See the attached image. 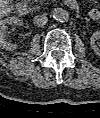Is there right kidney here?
I'll return each mask as SVG.
<instances>
[{"mask_svg":"<svg viewBox=\"0 0 100 118\" xmlns=\"http://www.w3.org/2000/svg\"><path fill=\"white\" fill-rule=\"evenodd\" d=\"M22 20L17 17H8L0 21V47L1 49L13 51L17 49L16 43L7 42L9 36L8 27L9 25H22Z\"/></svg>","mask_w":100,"mask_h":118,"instance_id":"right-kidney-1","label":"right kidney"}]
</instances>
